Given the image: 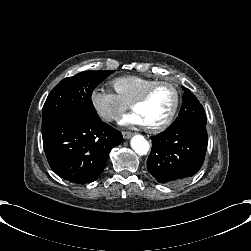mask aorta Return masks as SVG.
Returning <instances> with one entry per match:
<instances>
[{
  "mask_svg": "<svg viewBox=\"0 0 251 251\" xmlns=\"http://www.w3.org/2000/svg\"><path fill=\"white\" fill-rule=\"evenodd\" d=\"M130 145L138 155H146L150 148L149 142L142 135L133 136Z\"/></svg>",
  "mask_w": 251,
  "mask_h": 251,
  "instance_id": "1",
  "label": "aorta"
}]
</instances>
